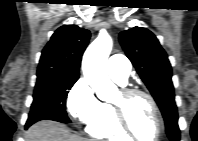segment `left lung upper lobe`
<instances>
[{"label":"left lung upper lobe","instance_id":"left-lung-upper-lobe-1","mask_svg":"<svg viewBox=\"0 0 198 141\" xmlns=\"http://www.w3.org/2000/svg\"><path fill=\"white\" fill-rule=\"evenodd\" d=\"M119 41L158 104L168 137L171 141H179L180 130L171 65L158 39L148 29L134 27L121 32Z\"/></svg>","mask_w":198,"mask_h":141}]
</instances>
